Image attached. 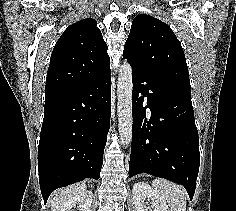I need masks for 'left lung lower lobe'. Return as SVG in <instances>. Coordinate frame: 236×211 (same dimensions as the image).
Wrapping results in <instances>:
<instances>
[{"label":"left lung lower lobe","instance_id":"0a47b994","mask_svg":"<svg viewBox=\"0 0 236 211\" xmlns=\"http://www.w3.org/2000/svg\"><path fill=\"white\" fill-rule=\"evenodd\" d=\"M132 74L129 177L148 173L182 184L192 200L200 153L191 94L145 71L132 68Z\"/></svg>","mask_w":236,"mask_h":211}]
</instances>
